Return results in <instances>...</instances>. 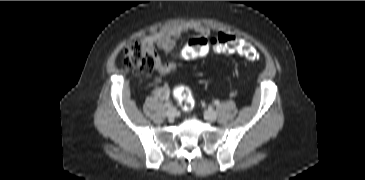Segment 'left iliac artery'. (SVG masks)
Instances as JSON below:
<instances>
[{
    "label": "left iliac artery",
    "instance_id": "left-iliac-artery-1",
    "mask_svg": "<svg viewBox=\"0 0 365 180\" xmlns=\"http://www.w3.org/2000/svg\"><path fill=\"white\" fill-rule=\"evenodd\" d=\"M220 102L218 100L215 101V105L219 106Z\"/></svg>",
    "mask_w": 365,
    "mask_h": 180
}]
</instances>
